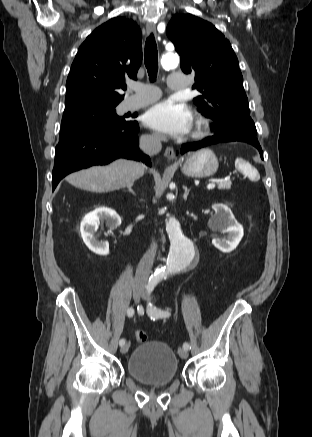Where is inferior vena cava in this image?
Instances as JSON below:
<instances>
[{
    "label": "inferior vena cava",
    "instance_id": "1",
    "mask_svg": "<svg viewBox=\"0 0 312 437\" xmlns=\"http://www.w3.org/2000/svg\"><path fill=\"white\" fill-rule=\"evenodd\" d=\"M165 137L160 133H153L150 135H143L140 138L139 147L140 149L149 155H154L161 150V141ZM157 250V244L153 241L148 251L144 254L141 261L138 264L136 273L137 274H149L153 266Z\"/></svg>",
    "mask_w": 312,
    "mask_h": 437
}]
</instances>
